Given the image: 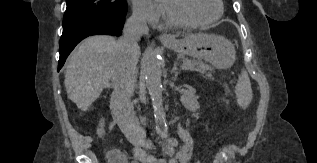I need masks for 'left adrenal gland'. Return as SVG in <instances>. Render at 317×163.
Segmentation results:
<instances>
[{
    "label": "left adrenal gland",
    "mask_w": 317,
    "mask_h": 163,
    "mask_svg": "<svg viewBox=\"0 0 317 163\" xmlns=\"http://www.w3.org/2000/svg\"><path fill=\"white\" fill-rule=\"evenodd\" d=\"M174 72H176V74H178L177 61H174V65H173V68L171 70V73H174Z\"/></svg>",
    "instance_id": "1"
}]
</instances>
